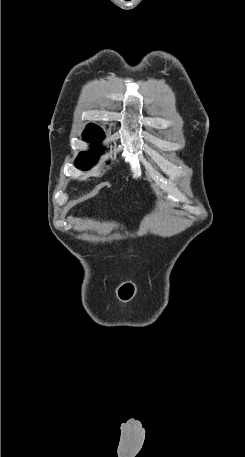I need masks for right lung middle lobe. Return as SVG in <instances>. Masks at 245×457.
Instances as JSON below:
<instances>
[{"instance_id": "right-lung-middle-lobe-1", "label": "right lung middle lobe", "mask_w": 245, "mask_h": 457, "mask_svg": "<svg viewBox=\"0 0 245 457\" xmlns=\"http://www.w3.org/2000/svg\"><path fill=\"white\" fill-rule=\"evenodd\" d=\"M83 138L88 142H100L105 138L102 129L87 127L83 133ZM104 148L95 149L89 152H81L78 159L75 162L77 168L86 170L91 168L98 159V156L102 153Z\"/></svg>"}]
</instances>
